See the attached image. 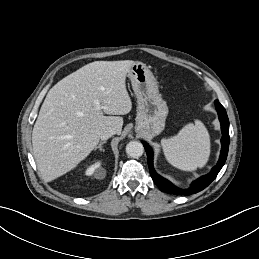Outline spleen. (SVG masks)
Wrapping results in <instances>:
<instances>
[{
  "mask_svg": "<svg viewBox=\"0 0 259 259\" xmlns=\"http://www.w3.org/2000/svg\"><path fill=\"white\" fill-rule=\"evenodd\" d=\"M167 161L183 171H193L204 167L210 156V136L204 124L185 125L177 135L161 141Z\"/></svg>",
  "mask_w": 259,
  "mask_h": 259,
  "instance_id": "3e777b00",
  "label": "spleen"
}]
</instances>
